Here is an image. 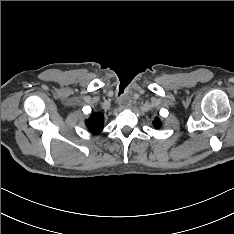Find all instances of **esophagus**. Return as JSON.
Wrapping results in <instances>:
<instances>
[{"instance_id": "obj_1", "label": "esophagus", "mask_w": 234, "mask_h": 234, "mask_svg": "<svg viewBox=\"0 0 234 234\" xmlns=\"http://www.w3.org/2000/svg\"><path fill=\"white\" fill-rule=\"evenodd\" d=\"M119 104L123 108H129L130 107V101L128 99H121Z\"/></svg>"}]
</instances>
